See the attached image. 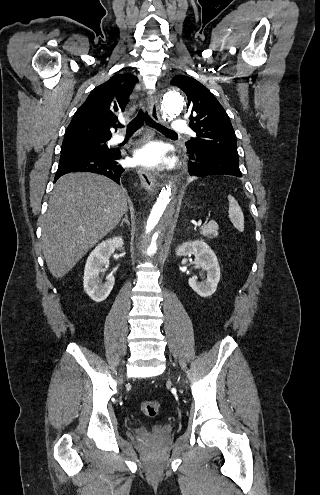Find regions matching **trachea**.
<instances>
[{"label": "trachea", "mask_w": 320, "mask_h": 495, "mask_svg": "<svg viewBox=\"0 0 320 495\" xmlns=\"http://www.w3.org/2000/svg\"><path fill=\"white\" fill-rule=\"evenodd\" d=\"M144 122H146L148 125L156 128L157 130H160L161 132H164V133H174V131L170 130V129H167L166 127L154 122L150 117L149 115L147 114V112H144L142 109H140V111L138 112L137 116L131 121L129 122V124L127 125V130H126V134L127 135H131L133 134L137 129H139L143 124ZM118 128H121L122 125L121 124H118L117 125Z\"/></svg>", "instance_id": "1"}]
</instances>
